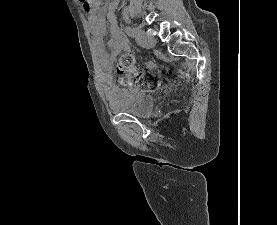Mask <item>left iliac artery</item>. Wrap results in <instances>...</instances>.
I'll use <instances>...</instances> for the list:
<instances>
[{
    "instance_id": "44dca946",
    "label": "left iliac artery",
    "mask_w": 277,
    "mask_h": 225,
    "mask_svg": "<svg viewBox=\"0 0 277 225\" xmlns=\"http://www.w3.org/2000/svg\"><path fill=\"white\" fill-rule=\"evenodd\" d=\"M125 32L128 36L133 37L134 36V29L130 26L125 27Z\"/></svg>"
}]
</instances>
